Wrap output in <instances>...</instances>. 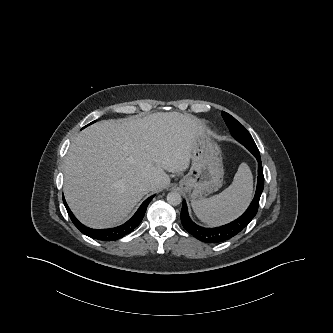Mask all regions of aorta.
<instances>
[{"mask_svg": "<svg viewBox=\"0 0 333 333\" xmlns=\"http://www.w3.org/2000/svg\"><path fill=\"white\" fill-rule=\"evenodd\" d=\"M181 195L178 192H170L167 195V202L170 205L177 206L181 203Z\"/></svg>", "mask_w": 333, "mask_h": 333, "instance_id": "aorta-1", "label": "aorta"}]
</instances>
